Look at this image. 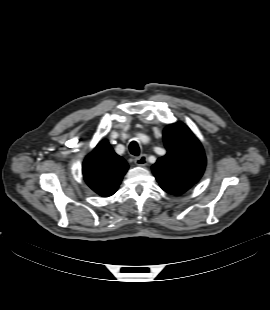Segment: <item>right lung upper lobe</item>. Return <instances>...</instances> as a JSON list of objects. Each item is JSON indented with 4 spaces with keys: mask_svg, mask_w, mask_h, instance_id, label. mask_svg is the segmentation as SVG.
Wrapping results in <instances>:
<instances>
[{
    "mask_svg": "<svg viewBox=\"0 0 270 310\" xmlns=\"http://www.w3.org/2000/svg\"><path fill=\"white\" fill-rule=\"evenodd\" d=\"M82 170L87 185L98 195L108 197L117 191L128 164L104 139L85 158Z\"/></svg>",
    "mask_w": 270,
    "mask_h": 310,
    "instance_id": "1",
    "label": "right lung upper lobe"
}]
</instances>
